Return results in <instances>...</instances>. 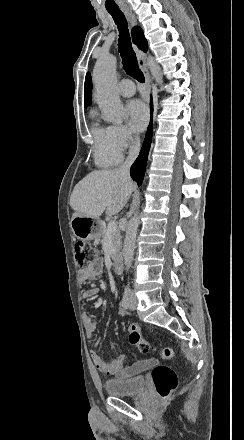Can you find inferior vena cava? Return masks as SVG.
<instances>
[{"mask_svg": "<svg viewBox=\"0 0 244 440\" xmlns=\"http://www.w3.org/2000/svg\"><path fill=\"white\" fill-rule=\"evenodd\" d=\"M140 152V140L139 136H135L134 142H132V146L129 148V156H127V160H125L124 164H122L121 168H119V172L124 174L126 178H130L129 170L135 162L138 154Z\"/></svg>", "mask_w": 244, "mask_h": 440, "instance_id": "inferior-vena-cava-1", "label": "inferior vena cava"}]
</instances>
